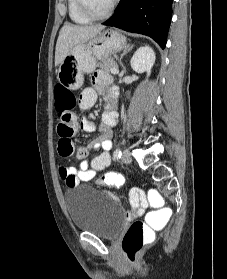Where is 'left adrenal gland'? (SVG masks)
<instances>
[{"label": "left adrenal gland", "instance_id": "left-adrenal-gland-1", "mask_svg": "<svg viewBox=\"0 0 227 279\" xmlns=\"http://www.w3.org/2000/svg\"><path fill=\"white\" fill-rule=\"evenodd\" d=\"M133 46H134V45L128 44V45L125 47V49H124V51H123V53H122V55H121V57H120L119 63H120V65L122 66L123 72H124V73H126V69H125V67H124V65H123V63H122V59H123L124 55H126V53H128V52L133 48Z\"/></svg>", "mask_w": 227, "mask_h": 279}]
</instances>
